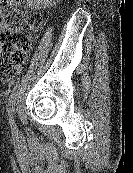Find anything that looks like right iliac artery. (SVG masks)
Masks as SVG:
<instances>
[{"label":"right iliac artery","instance_id":"82829eb1","mask_svg":"<svg viewBox=\"0 0 133 173\" xmlns=\"http://www.w3.org/2000/svg\"><path fill=\"white\" fill-rule=\"evenodd\" d=\"M17 87H18V84H16V86H14L12 90V93L8 101V107H7L9 121L13 129H15L14 116H15V99H16Z\"/></svg>","mask_w":133,"mask_h":173}]
</instances>
